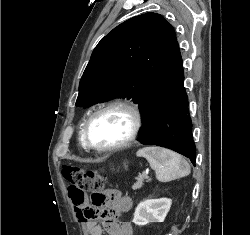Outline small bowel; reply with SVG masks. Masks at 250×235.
Here are the masks:
<instances>
[{
	"label": "small bowel",
	"mask_w": 250,
	"mask_h": 235,
	"mask_svg": "<svg viewBox=\"0 0 250 235\" xmlns=\"http://www.w3.org/2000/svg\"><path fill=\"white\" fill-rule=\"evenodd\" d=\"M108 199L97 209L101 222L96 217L90 218V213L96 211L88 202L81 206H75L74 211L80 222L86 227L87 235H132V226L127 221H118V214L128 212L132 207V199L117 190L106 192Z\"/></svg>",
	"instance_id": "1"
}]
</instances>
